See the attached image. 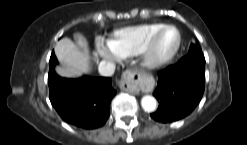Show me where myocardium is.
<instances>
[{
    "instance_id": "myocardium-1",
    "label": "myocardium",
    "mask_w": 247,
    "mask_h": 145,
    "mask_svg": "<svg viewBox=\"0 0 247 145\" xmlns=\"http://www.w3.org/2000/svg\"><path fill=\"white\" fill-rule=\"evenodd\" d=\"M166 29L175 30L177 34L176 45L169 54L165 56H156L154 54V46L156 40L158 36ZM181 44H182V36L180 30L174 25H170V24L162 25L151 34L146 44L144 45L143 49L139 53L141 67L147 71H155L165 67L175 58L178 51L180 50Z\"/></svg>"
}]
</instances>
